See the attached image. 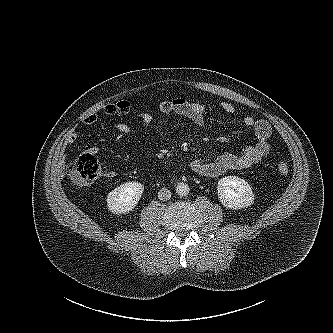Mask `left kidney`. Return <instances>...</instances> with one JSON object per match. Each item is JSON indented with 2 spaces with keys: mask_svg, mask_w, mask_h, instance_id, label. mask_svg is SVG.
I'll return each instance as SVG.
<instances>
[{
  "mask_svg": "<svg viewBox=\"0 0 333 333\" xmlns=\"http://www.w3.org/2000/svg\"><path fill=\"white\" fill-rule=\"evenodd\" d=\"M221 204L229 209H242L254 203V194L248 182L236 176L221 178L217 185Z\"/></svg>",
  "mask_w": 333,
  "mask_h": 333,
  "instance_id": "obj_1",
  "label": "left kidney"
}]
</instances>
